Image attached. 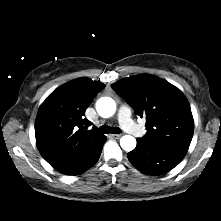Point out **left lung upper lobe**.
Masks as SVG:
<instances>
[{
    "instance_id": "obj_1",
    "label": "left lung upper lobe",
    "mask_w": 221,
    "mask_h": 221,
    "mask_svg": "<svg viewBox=\"0 0 221 221\" xmlns=\"http://www.w3.org/2000/svg\"><path fill=\"white\" fill-rule=\"evenodd\" d=\"M111 87L146 119L147 133L138 141L188 151L194 120L189 103L178 88L149 74L121 79Z\"/></svg>"
}]
</instances>
